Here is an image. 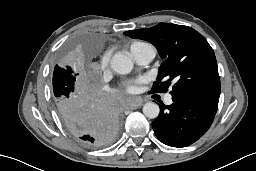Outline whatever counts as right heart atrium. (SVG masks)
Returning a JSON list of instances; mask_svg holds the SVG:
<instances>
[{"instance_id": "d8ad5b80", "label": "right heart atrium", "mask_w": 256, "mask_h": 171, "mask_svg": "<svg viewBox=\"0 0 256 171\" xmlns=\"http://www.w3.org/2000/svg\"><path fill=\"white\" fill-rule=\"evenodd\" d=\"M108 64H109V58L107 54H104L101 59L99 60V62L96 64V68L101 71L104 72L107 70L108 68Z\"/></svg>"}]
</instances>
